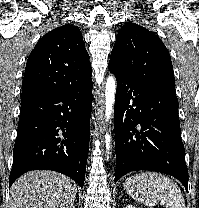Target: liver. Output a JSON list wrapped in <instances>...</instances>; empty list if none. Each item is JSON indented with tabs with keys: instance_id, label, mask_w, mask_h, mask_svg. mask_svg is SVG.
Masks as SVG:
<instances>
[{
	"instance_id": "liver-1",
	"label": "liver",
	"mask_w": 199,
	"mask_h": 208,
	"mask_svg": "<svg viewBox=\"0 0 199 208\" xmlns=\"http://www.w3.org/2000/svg\"><path fill=\"white\" fill-rule=\"evenodd\" d=\"M10 192V208H67L75 200L77 185L61 173L36 170L19 177Z\"/></svg>"
}]
</instances>
